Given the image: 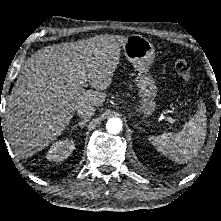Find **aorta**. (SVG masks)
I'll list each match as a JSON object with an SVG mask.
<instances>
[{
  "instance_id": "aorta-1",
  "label": "aorta",
  "mask_w": 221,
  "mask_h": 221,
  "mask_svg": "<svg viewBox=\"0 0 221 221\" xmlns=\"http://www.w3.org/2000/svg\"><path fill=\"white\" fill-rule=\"evenodd\" d=\"M107 132L118 134L122 130V121L119 118H110L106 123Z\"/></svg>"
}]
</instances>
